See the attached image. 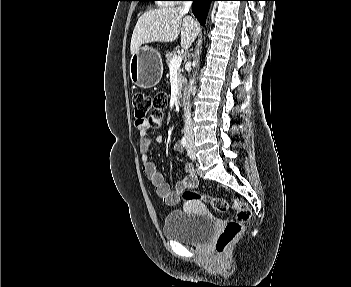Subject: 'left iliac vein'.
I'll use <instances>...</instances> for the list:
<instances>
[{
	"label": "left iliac vein",
	"instance_id": "1",
	"mask_svg": "<svg viewBox=\"0 0 351 287\" xmlns=\"http://www.w3.org/2000/svg\"><path fill=\"white\" fill-rule=\"evenodd\" d=\"M187 154L190 157V159H192V160L196 159L194 146H193V139L191 136L188 138Z\"/></svg>",
	"mask_w": 351,
	"mask_h": 287
}]
</instances>
